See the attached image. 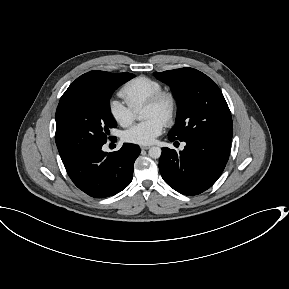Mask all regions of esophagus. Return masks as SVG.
<instances>
[{
    "mask_svg": "<svg viewBox=\"0 0 289 289\" xmlns=\"http://www.w3.org/2000/svg\"><path fill=\"white\" fill-rule=\"evenodd\" d=\"M142 150H148L150 148V146H141L140 147Z\"/></svg>",
    "mask_w": 289,
    "mask_h": 289,
    "instance_id": "1",
    "label": "esophagus"
}]
</instances>
